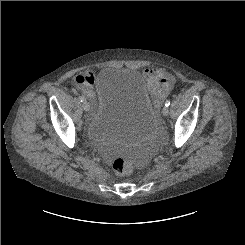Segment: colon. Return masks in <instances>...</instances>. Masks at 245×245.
<instances>
[{
  "label": "colon",
  "mask_w": 245,
  "mask_h": 245,
  "mask_svg": "<svg viewBox=\"0 0 245 245\" xmlns=\"http://www.w3.org/2000/svg\"><path fill=\"white\" fill-rule=\"evenodd\" d=\"M81 81L84 80L81 79ZM132 168H133L132 161L127 158H117L113 162V170L118 175H127L132 171Z\"/></svg>",
  "instance_id": "colon-1"
}]
</instances>
